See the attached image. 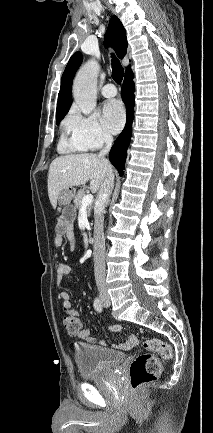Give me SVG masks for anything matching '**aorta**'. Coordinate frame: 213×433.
<instances>
[{
    "instance_id": "obj_1",
    "label": "aorta",
    "mask_w": 213,
    "mask_h": 433,
    "mask_svg": "<svg viewBox=\"0 0 213 433\" xmlns=\"http://www.w3.org/2000/svg\"><path fill=\"white\" fill-rule=\"evenodd\" d=\"M98 71V63L91 59L79 70L73 82V97L85 115L90 114L96 107Z\"/></svg>"
}]
</instances>
